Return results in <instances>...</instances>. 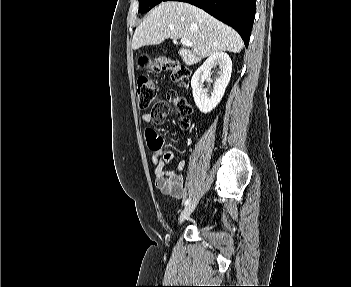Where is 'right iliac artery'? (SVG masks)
I'll return each instance as SVG.
<instances>
[{"mask_svg":"<svg viewBox=\"0 0 351 287\" xmlns=\"http://www.w3.org/2000/svg\"><path fill=\"white\" fill-rule=\"evenodd\" d=\"M190 200H191V199H187V200L184 202V206H187V205L190 203Z\"/></svg>","mask_w":351,"mask_h":287,"instance_id":"obj_1","label":"right iliac artery"}]
</instances>
